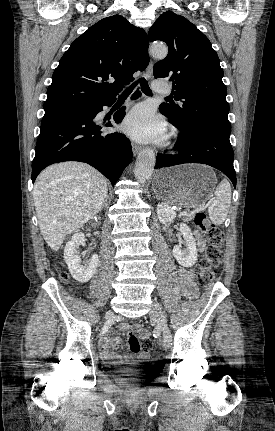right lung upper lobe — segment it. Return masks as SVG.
<instances>
[{"mask_svg": "<svg viewBox=\"0 0 275 431\" xmlns=\"http://www.w3.org/2000/svg\"><path fill=\"white\" fill-rule=\"evenodd\" d=\"M146 33L114 15L91 26L72 42L47 89L44 110L80 107L116 97L133 73L149 61ZM108 80H114L109 83Z\"/></svg>", "mask_w": 275, "mask_h": 431, "instance_id": "1", "label": "right lung upper lobe"}]
</instances>
